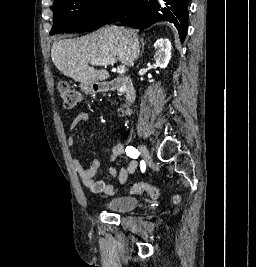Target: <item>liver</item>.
<instances>
[{
	"mask_svg": "<svg viewBox=\"0 0 256 267\" xmlns=\"http://www.w3.org/2000/svg\"><path fill=\"white\" fill-rule=\"evenodd\" d=\"M136 40H138V34L135 30L105 26L90 36L54 42L51 58L56 68L64 76L73 78L75 82H81L85 86H89L92 82L101 84L109 78V72L94 70L88 66V62L91 60L117 62L119 60L122 66H132V46ZM92 66H97V64H92Z\"/></svg>",
	"mask_w": 256,
	"mask_h": 267,
	"instance_id": "1",
	"label": "liver"
}]
</instances>
